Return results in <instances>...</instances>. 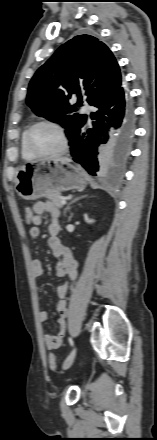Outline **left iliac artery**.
<instances>
[{
    "mask_svg": "<svg viewBox=\"0 0 157 440\" xmlns=\"http://www.w3.org/2000/svg\"><path fill=\"white\" fill-rule=\"evenodd\" d=\"M69 342H70L71 345H73V341H72L71 338H69Z\"/></svg>",
    "mask_w": 157,
    "mask_h": 440,
    "instance_id": "obj_1",
    "label": "left iliac artery"
}]
</instances>
